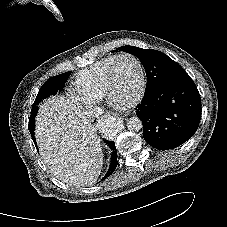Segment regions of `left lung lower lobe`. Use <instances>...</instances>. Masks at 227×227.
<instances>
[{"label": "left lung lower lobe", "instance_id": "1", "mask_svg": "<svg viewBox=\"0 0 227 227\" xmlns=\"http://www.w3.org/2000/svg\"><path fill=\"white\" fill-rule=\"evenodd\" d=\"M143 137L160 150L176 148L196 132L201 117L198 89L188 74L165 80L145 91L136 107Z\"/></svg>", "mask_w": 227, "mask_h": 227}]
</instances>
